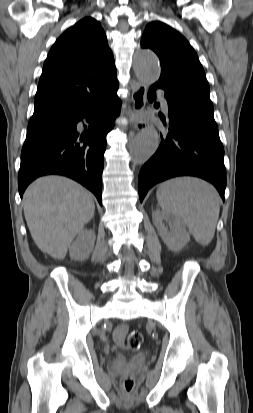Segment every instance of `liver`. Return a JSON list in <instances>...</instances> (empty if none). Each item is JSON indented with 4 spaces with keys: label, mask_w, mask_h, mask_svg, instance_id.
I'll use <instances>...</instances> for the list:
<instances>
[{
    "label": "liver",
    "mask_w": 253,
    "mask_h": 413,
    "mask_svg": "<svg viewBox=\"0 0 253 413\" xmlns=\"http://www.w3.org/2000/svg\"><path fill=\"white\" fill-rule=\"evenodd\" d=\"M24 216L37 247L54 259L65 258L76 235L95 212L93 195L77 182L45 176L29 185Z\"/></svg>",
    "instance_id": "liver-1"
}]
</instances>
